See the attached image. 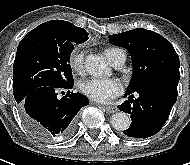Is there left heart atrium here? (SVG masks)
<instances>
[{
	"label": "left heart atrium",
	"instance_id": "obj_1",
	"mask_svg": "<svg viewBox=\"0 0 190 165\" xmlns=\"http://www.w3.org/2000/svg\"><path fill=\"white\" fill-rule=\"evenodd\" d=\"M81 92L90 99L105 103L121 94L123 86L118 79L93 77L80 85Z\"/></svg>",
	"mask_w": 190,
	"mask_h": 165
}]
</instances>
